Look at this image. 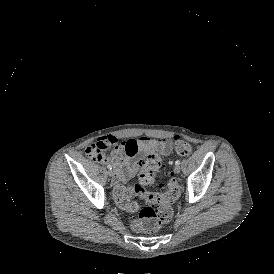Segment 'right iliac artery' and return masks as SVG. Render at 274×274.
I'll use <instances>...</instances> for the list:
<instances>
[{
  "label": "right iliac artery",
  "mask_w": 274,
  "mask_h": 274,
  "mask_svg": "<svg viewBox=\"0 0 274 274\" xmlns=\"http://www.w3.org/2000/svg\"><path fill=\"white\" fill-rule=\"evenodd\" d=\"M107 168H108L109 170H111V169H112V166H111V165H108Z\"/></svg>",
  "instance_id": "right-iliac-artery-1"
}]
</instances>
